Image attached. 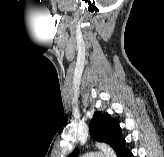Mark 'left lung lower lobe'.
<instances>
[{
	"label": "left lung lower lobe",
	"instance_id": "1",
	"mask_svg": "<svg viewBox=\"0 0 164 157\" xmlns=\"http://www.w3.org/2000/svg\"><path fill=\"white\" fill-rule=\"evenodd\" d=\"M116 157H134L133 154L127 149L126 141L123 139L114 148Z\"/></svg>",
	"mask_w": 164,
	"mask_h": 157
}]
</instances>
